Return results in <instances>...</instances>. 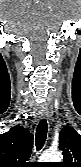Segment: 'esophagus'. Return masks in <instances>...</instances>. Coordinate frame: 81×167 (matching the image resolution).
I'll return each instance as SVG.
<instances>
[{
  "label": "esophagus",
  "mask_w": 81,
  "mask_h": 167,
  "mask_svg": "<svg viewBox=\"0 0 81 167\" xmlns=\"http://www.w3.org/2000/svg\"><path fill=\"white\" fill-rule=\"evenodd\" d=\"M40 118L41 119H49V113L47 111H41Z\"/></svg>",
  "instance_id": "obj_1"
}]
</instances>
